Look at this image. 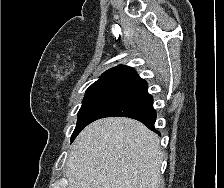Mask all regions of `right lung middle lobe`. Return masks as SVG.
Instances as JSON below:
<instances>
[{
    "label": "right lung middle lobe",
    "instance_id": "right-lung-middle-lobe-1",
    "mask_svg": "<svg viewBox=\"0 0 224 188\" xmlns=\"http://www.w3.org/2000/svg\"><path fill=\"white\" fill-rule=\"evenodd\" d=\"M131 81L128 80H101L93 83L86 91L82 106L78 113L76 128L71 141L89 124L92 116L115 94L126 87Z\"/></svg>",
    "mask_w": 224,
    "mask_h": 188
}]
</instances>
